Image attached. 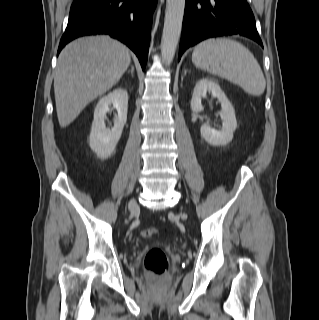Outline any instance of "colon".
Instances as JSON below:
<instances>
[{
    "mask_svg": "<svg viewBox=\"0 0 319 320\" xmlns=\"http://www.w3.org/2000/svg\"><path fill=\"white\" fill-rule=\"evenodd\" d=\"M156 233L157 230L155 228H146L141 234L145 238H150L156 235ZM144 268L148 273L154 276H162L165 274L168 271L169 263L164 251L157 247L150 249L144 258ZM152 292L154 295L162 294V284L159 282L154 283Z\"/></svg>",
    "mask_w": 319,
    "mask_h": 320,
    "instance_id": "1",
    "label": "colon"
}]
</instances>
